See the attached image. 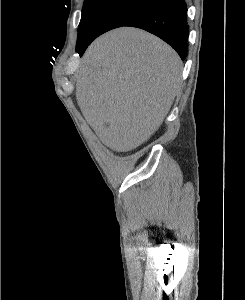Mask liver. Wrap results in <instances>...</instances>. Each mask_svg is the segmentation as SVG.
Wrapping results in <instances>:
<instances>
[{"label":"liver","mask_w":245,"mask_h":300,"mask_svg":"<svg viewBox=\"0 0 245 300\" xmlns=\"http://www.w3.org/2000/svg\"><path fill=\"white\" fill-rule=\"evenodd\" d=\"M183 63L164 41L122 27L97 38L76 75V99L101 142L117 152L144 143L162 124L181 86Z\"/></svg>","instance_id":"1"}]
</instances>
